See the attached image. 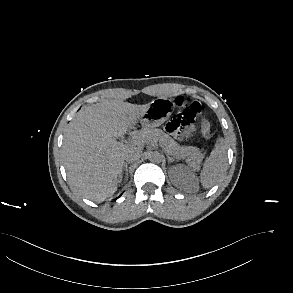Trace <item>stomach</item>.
<instances>
[{"label": "stomach", "mask_w": 293, "mask_h": 293, "mask_svg": "<svg viewBox=\"0 0 293 293\" xmlns=\"http://www.w3.org/2000/svg\"><path fill=\"white\" fill-rule=\"evenodd\" d=\"M174 109L172 99L160 97L150 103L149 108L140 118V123L145 128H154L163 124Z\"/></svg>", "instance_id": "0dacf381"}]
</instances>
